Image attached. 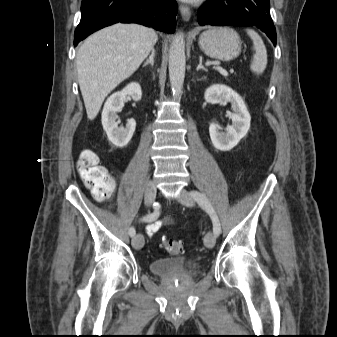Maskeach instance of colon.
<instances>
[{"label": "colon", "mask_w": 337, "mask_h": 337, "mask_svg": "<svg viewBox=\"0 0 337 337\" xmlns=\"http://www.w3.org/2000/svg\"><path fill=\"white\" fill-rule=\"evenodd\" d=\"M78 171L95 199L103 201L112 195L115 187L114 181L100 164L99 156L94 150L84 149L81 151L78 159ZM163 246L171 254H179L182 251V244L177 240L165 239Z\"/></svg>", "instance_id": "colon-1"}]
</instances>
